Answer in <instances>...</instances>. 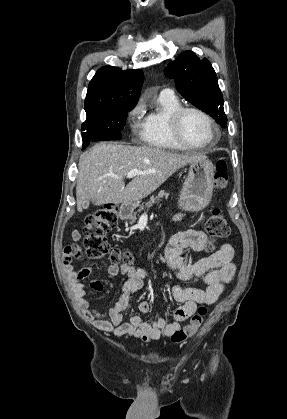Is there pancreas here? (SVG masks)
I'll return each mask as SVG.
<instances>
[{
    "instance_id": "1",
    "label": "pancreas",
    "mask_w": 287,
    "mask_h": 419,
    "mask_svg": "<svg viewBox=\"0 0 287 419\" xmlns=\"http://www.w3.org/2000/svg\"><path fill=\"white\" fill-rule=\"evenodd\" d=\"M168 196H169V193H167V192H165V191L161 190V191L157 194V196H151L148 202L143 203V204H141V205H138V207H139V211H143V210L149 209V208H150L153 204L158 203V202H159V201H160L163 197L167 198ZM135 218H136V217H135ZM135 218H134V219H135Z\"/></svg>"
}]
</instances>
